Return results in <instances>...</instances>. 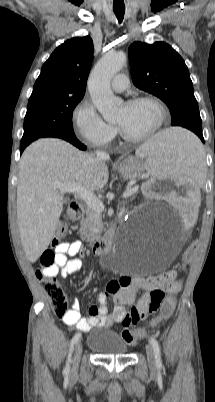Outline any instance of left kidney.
<instances>
[{"instance_id": "left-kidney-1", "label": "left kidney", "mask_w": 215, "mask_h": 402, "mask_svg": "<svg viewBox=\"0 0 215 402\" xmlns=\"http://www.w3.org/2000/svg\"><path fill=\"white\" fill-rule=\"evenodd\" d=\"M144 192L161 193L162 200H172L177 209L184 211V222L198 221L200 202L194 182H187L186 178H180L179 175H152L146 180ZM187 230H192V225H187Z\"/></svg>"}]
</instances>
